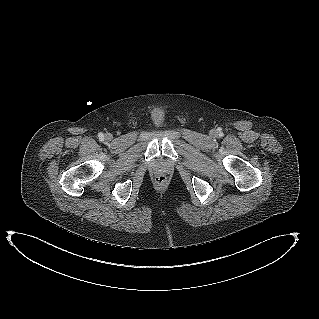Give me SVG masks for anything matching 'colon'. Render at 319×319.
<instances>
[{
	"mask_svg": "<svg viewBox=\"0 0 319 319\" xmlns=\"http://www.w3.org/2000/svg\"><path fill=\"white\" fill-rule=\"evenodd\" d=\"M156 183L158 184V185H165L166 184V182H167V177L165 176V175H159V176H157L156 177Z\"/></svg>",
	"mask_w": 319,
	"mask_h": 319,
	"instance_id": "5ec220e1",
	"label": "colon"
}]
</instances>
